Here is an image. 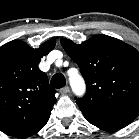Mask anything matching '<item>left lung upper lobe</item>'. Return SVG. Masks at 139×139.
Instances as JSON below:
<instances>
[{"mask_svg": "<svg viewBox=\"0 0 139 139\" xmlns=\"http://www.w3.org/2000/svg\"><path fill=\"white\" fill-rule=\"evenodd\" d=\"M61 45L86 82L85 96L76 101L80 108H139V52L135 48L107 35H96L79 45L63 38Z\"/></svg>", "mask_w": 139, "mask_h": 139, "instance_id": "1", "label": "left lung upper lobe"}]
</instances>
